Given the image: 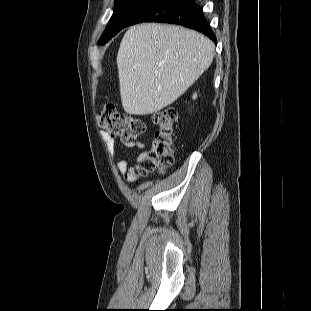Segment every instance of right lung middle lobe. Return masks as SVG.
Returning <instances> with one entry per match:
<instances>
[{"mask_svg":"<svg viewBox=\"0 0 311 311\" xmlns=\"http://www.w3.org/2000/svg\"><path fill=\"white\" fill-rule=\"evenodd\" d=\"M156 0H116L114 13L99 40V44L107 43L142 9Z\"/></svg>","mask_w":311,"mask_h":311,"instance_id":"dd1d6c3e","label":"right lung middle lobe"}]
</instances>
